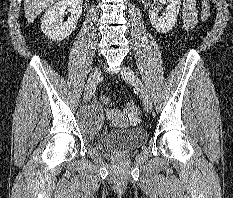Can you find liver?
Masks as SVG:
<instances>
[{
	"instance_id": "6515ba94",
	"label": "liver",
	"mask_w": 233,
	"mask_h": 198,
	"mask_svg": "<svg viewBox=\"0 0 233 198\" xmlns=\"http://www.w3.org/2000/svg\"><path fill=\"white\" fill-rule=\"evenodd\" d=\"M57 1L58 0H24V11L27 22L32 23L38 15Z\"/></svg>"
}]
</instances>
